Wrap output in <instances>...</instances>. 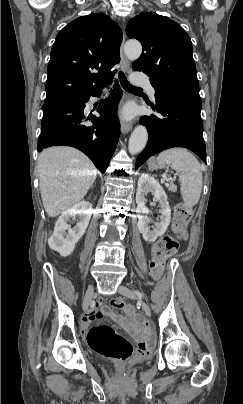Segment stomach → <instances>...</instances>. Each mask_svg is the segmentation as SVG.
Listing matches in <instances>:
<instances>
[{
	"mask_svg": "<svg viewBox=\"0 0 243 404\" xmlns=\"http://www.w3.org/2000/svg\"><path fill=\"white\" fill-rule=\"evenodd\" d=\"M148 168H149V170L163 169V168H165V164L160 165L158 163V160L154 158V159H150L148 161Z\"/></svg>",
	"mask_w": 243,
	"mask_h": 404,
	"instance_id": "obj_1",
	"label": "stomach"
}]
</instances>
